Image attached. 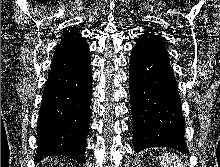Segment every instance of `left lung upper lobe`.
<instances>
[{"mask_svg":"<svg viewBox=\"0 0 220 167\" xmlns=\"http://www.w3.org/2000/svg\"><path fill=\"white\" fill-rule=\"evenodd\" d=\"M133 50L154 51L157 53L167 54L164 46L163 38L157 30L149 29L144 34L139 36Z\"/></svg>","mask_w":220,"mask_h":167,"instance_id":"1","label":"left lung upper lobe"}]
</instances>
